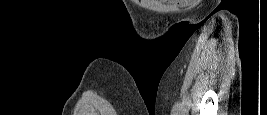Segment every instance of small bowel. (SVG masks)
I'll return each instance as SVG.
<instances>
[{
	"label": "small bowel",
	"mask_w": 267,
	"mask_h": 115,
	"mask_svg": "<svg viewBox=\"0 0 267 115\" xmlns=\"http://www.w3.org/2000/svg\"><path fill=\"white\" fill-rule=\"evenodd\" d=\"M169 2L175 3V4H182V5H193L197 1L196 0H173V1H169Z\"/></svg>",
	"instance_id": "1"
}]
</instances>
